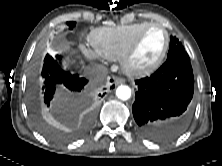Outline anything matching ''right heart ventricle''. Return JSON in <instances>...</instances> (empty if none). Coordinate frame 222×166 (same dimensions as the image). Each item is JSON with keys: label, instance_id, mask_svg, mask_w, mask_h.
<instances>
[{"label": "right heart ventricle", "instance_id": "e07e8e85", "mask_svg": "<svg viewBox=\"0 0 222 166\" xmlns=\"http://www.w3.org/2000/svg\"><path fill=\"white\" fill-rule=\"evenodd\" d=\"M149 22L94 29L89 41L95 52L108 60H119L136 34Z\"/></svg>", "mask_w": 222, "mask_h": 166}]
</instances>
